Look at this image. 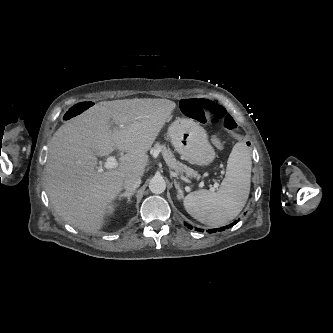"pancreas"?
<instances>
[{
  "mask_svg": "<svg viewBox=\"0 0 333 333\" xmlns=\"http://www.w3.org/2000/svg\"><path fill=\"white\" fill-rule=\"evenodd\" d=\"M152 151L161 152L166 164L175 174H185L186 177L197 178V172L188 166L176 161L171 151L165 145L156 143L152 148Z\"/></svg>",
  "mask_w": 333,
  "mask_h": 333,
  "instance_id": "obj_1",
  "label": "pancreas"
}]
</instances>
